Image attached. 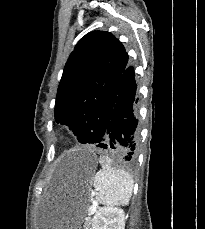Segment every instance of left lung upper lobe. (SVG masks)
Here are the masks:
<instances>
[{"instance_id":"left-lung-upper-lobe-1","label":"left lung upper lobe","mask_w":205,"mask_h":229,"mask_svg":"<svg viewBox=\"0 0 205 229\" xmlns=\"http://www.w3.org/2000/svg\"><path fill=\"white\" fill-rule=\"evenodd\" d=\"M128 64L122 43L111 33L94 31L77 43L59 83L55 120L67 125L80 143L105 118L110 92Z\"/></svg>"}]
</instances>
